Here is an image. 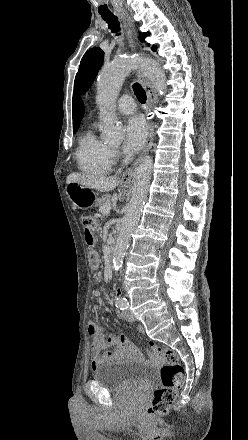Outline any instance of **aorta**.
<instances>
[{"mask_svg": "<svg viewBox=\"0 0 248 440\" xmlns=\"http://www.w3.org/2000/svg\"><path fill=\"white\" fill-rule=\"evenodd\" d=\"M136 68L140 69L152 82L153 87L160 95L166 93L165 73L152 59L119 58L105 67L100 72L97 81V102L100 106V119L103 122L102 137L108 143L120 144L123 140L124 135L114 112V103L125 78ZM152 168L153 161L151 157L144 158L136 168L132 195L121 221L113 253V265L116 270L122 267L132 232L141 217L152 175Z\"/></svg>", "mask_w": 248, "mask_h": 440, "instance_id": "762f6f07", "label": "aorta"}]
</instances>
